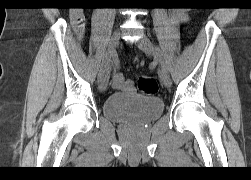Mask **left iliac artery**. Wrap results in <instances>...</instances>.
<instances>
[{"label": "left iliac artery", "instance_id": "44dca946", "mask_svg": "<svg viewBox=\"0 0 251 180\" xmlns=\"http://www.w3.org/2000/svg\"><path fill=\"white\" fill-rule=\"evenodd\" d=\"M155 53L157 55V57L159 58V61L161 63V66L164 70H167V65H166V61L163 58V53L161 51V49L158 46H155Z\"/></svg>", "mask_w": 251, "mask_h": 180}]
</instances>
